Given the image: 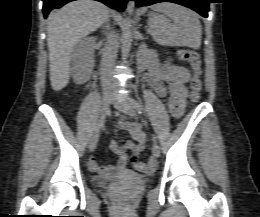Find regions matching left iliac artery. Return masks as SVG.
<instances>
[{"mask_svg": "<svg viewBox=\"0 0 260 217\" xmlns=\"http://www.w3.org/2000/svg\"><path fill=\"white\" fill-rule=\"evenodd\" d=\"M130 101H131L132 106L136 109V111H137L139 114H145V110H144L143 106H142L139 102H137V101L134 100V99H131ZM143 123H144V125H145L146 127L148 126V123H147L146 120H143ZM152 140H153L154 142H157V137L155 136V134H152Z\"/></svg>", "mask_w": 260, "mask_h": 217, "instance_id": "obj_1", "label": "left iliac artery"}]
</instances>
